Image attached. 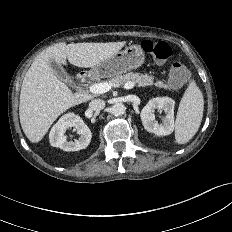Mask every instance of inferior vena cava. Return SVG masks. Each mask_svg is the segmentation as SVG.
<instances>
[{"mask_svg": "<svg viewBox=\"0 0 232 232\" xmlns=\"http://www.w3.org/2000/svg\"><path fill=\"white\" fill-rule=\"evenodd\" d=\"M105 107V101L101 99H94L89 103V108L92 111H101Z\"/></svg>", "mask_w": 232, "mask_h": 232, "instance_id": "inferior-vena-cava-1", "label": "inferior vena cava"}]
</instances>
